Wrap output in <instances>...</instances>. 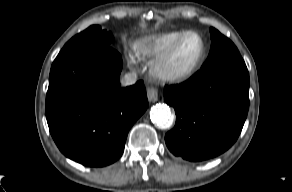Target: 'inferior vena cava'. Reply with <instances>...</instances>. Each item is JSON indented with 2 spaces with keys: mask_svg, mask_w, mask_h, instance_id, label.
I'll return each instance as SVG.
<instances>
[{
  "mask_svg": "<svg viewBox=\"0 0 292 192\" xmlns=\"http://www.w3.org/2000/svg\"><path fill=\"white\" fill-rule=\"evenodd\" d=\"M137 81V73L136 72H129L126 73L122 79H121V84L123 86H129L135 84Z\"/></svg>",
  "mask_w": 292,
  "mask_h": 192,
  "instance_id": "inferior-vena-cava-1",
  "label": "inferior vena cava"
}]
</instances>
